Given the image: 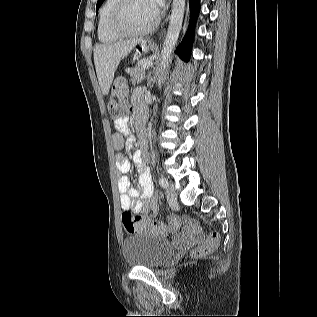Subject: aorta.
<instances>
[{"instance_id":"1","label":"aorta","mask_w":317,"mask_h":317,"mask_svg":"<svg viewBox=\"0 0 317 317\" xmlns=\"http://www.w3.org/2000/svg\"><path fill=\"white\" fill-rule=\"evenodd\" d=\"M184 11L185 0H173L167 34L161 50V62L157 68V74L159 77L166 68L177 43L183 23Z\"/></svg>"}]
</instances>
